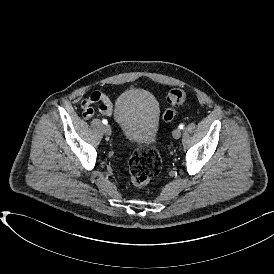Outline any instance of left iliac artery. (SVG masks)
Wrapping results in <instances>:
<instances>
[{"label": "left iliac artery", "instance_id": "44dca946", "mask_svg": "<svg viewBox=\"0 0 274 274\" xmlns=\"http://www.w3.org/2000/svg\"><path fill=\"white\" fill-rule=\"evenodd\" d=\"M179 128H180V129H183V128H184V125H183V124H180V125H179Z\"/></svg>", "mask_w": 274, "mask_h": 274}]
</instances>
